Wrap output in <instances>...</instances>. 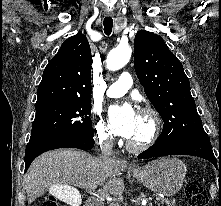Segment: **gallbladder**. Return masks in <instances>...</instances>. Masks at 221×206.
I'll return each mask as SVG.
<instances>
[{
    "label": "gallbladder",
    "mask_w": 221,
    "mask_h": 206,
    "mask_svg": "<svg viewBox=\"0 0 221 206\" xmlns=\"http://www.w3.org/2000/svg\"><path fill=\"white\" fill-rule=\"evenodd\" d=\"M51 194L53 198H59V202H65V205L82 206V193H76L72 185H53Z\"/></svg>",
    "instance_id": "gallbladder-1"
}]
</instances>
